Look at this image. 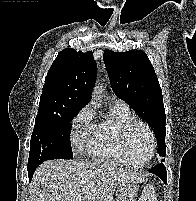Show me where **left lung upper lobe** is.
I'll use <instances>...</instances> for the list:
<instances>
[{"instance_id": "left-lung-upper-lobe-1", "label": "left lung upper lobe", "mask_w": 196, "mask_h": 201, "mask_svg": "<svg viewBox=\"0 0 196 201\" xmlns=\"http://www.w3.org/2000/svg\"><path fill=\"white\" fill-rule=\"evenodd\" d=\"M103 58L115 94L153 128L159 156L165 157L166 116L163 96L148 56L143 51L123 53L106 50Z\"/></svg>"}]
</instances>
